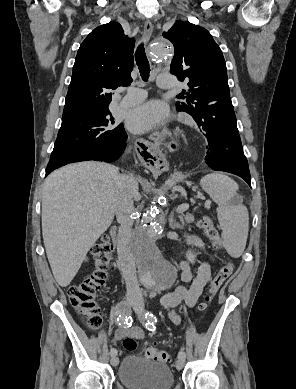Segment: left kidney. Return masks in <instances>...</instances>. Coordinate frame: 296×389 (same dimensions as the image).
Here are the masks:
<instances>
[{
    "label": "left kidney",
    "mask_w": 296,
    "mask_h": 389,
    "mask_svg": "<svg viewBox=\"0 0 296 389\" xmlns=\"http://www.w3.org/2000/svg\"><path fill=\"white\" fill-rule=\"evenodd\" d=\"M186 257L188 259V261H190L191 263H194L195 262V255L193 254V252L191 250H189L186 254Z\"/></svg>",
    "instance_id": "5707ae66"
}]
</instances>
